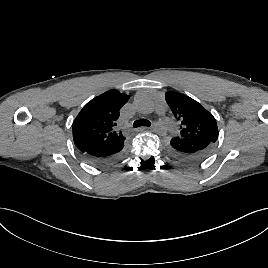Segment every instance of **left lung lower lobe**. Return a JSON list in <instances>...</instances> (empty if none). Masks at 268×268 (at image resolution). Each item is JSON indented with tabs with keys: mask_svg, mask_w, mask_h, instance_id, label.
<instances>
[{
	"mask_svg": "<svg viewBox=\"0 0 268 268\" xmlns=\"http://www.w3.org/2000/svg\"><path fill=\"white\" fill-rule=\"evenodd\" d=\"M215 143L204 138H176L166 141V149L174 158L195 163L206 159L212 152Z\"/></svg>",
	"mask_w": 268,
	"mask_h": 268,
	"instance_id": "obj_1",
	"label": "left lung lower lobe"
}]
</instances>
